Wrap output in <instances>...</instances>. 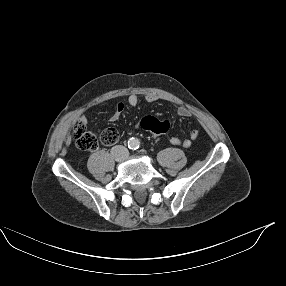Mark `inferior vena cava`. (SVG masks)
Returning <instances> with one entry per match:
<instances>
[{"label": "inferior vena cava", "instance_id": "602c4592", "mask_svg": "<svg viewBox=\"0 0 286 286\" xmlns=\"http://www.w3.org/2000/svg\"><path fill=\"white\" fill-rule=\"evenodd\" d=\"M111 154L117 161H124L129 156V151L122 145H116L111 149Z\"/></svg>", "mask_w": 286, "mask_h": 286}]
</instances>
